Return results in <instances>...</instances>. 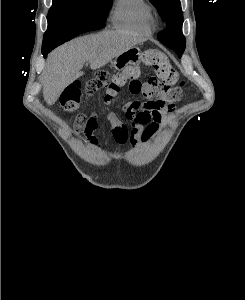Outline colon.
<instances>
[{
	"mask_svg": "<svg viewBox=\"0 0 245 300\" xmlns=\"http://www.w3.org/2000/svg\"><path fill=\"white\" fill-rule=\"evenodd\" d=\"M143 60L153 68L156 74L146 83L152 92L167 102L178 101L182 95L183 83L167 56L159 50L151 49L144 53ZM139 72L137 66H129L113 74L105 70L98 71L87 81L86 90L88 93H93L99 89H106L105 103L109 104L122 88L126 87L130 92L138 91ZM81 95L82 84L80 82L70 84L61 94V107L67 112L76 110L80 104Z\"/></svg>",
	"mask_w": 245,
	"mask_h": 300,
	"instance_id": "obj_1",
	"label": "colon"
}]
</instances>
